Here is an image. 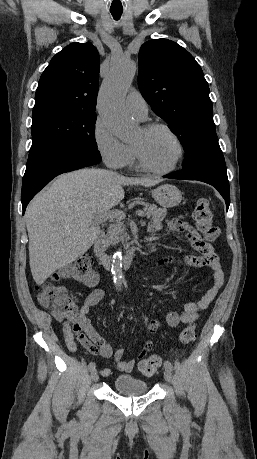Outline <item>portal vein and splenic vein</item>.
<instances>
[{
    "label": "portal vein and splenic vein",
    "instance_id": "18ae733b",
    "mask_svg": "<svg viewBox=\"0 0 257 459\" xmlns=\"http://www.w3.org/2000/svg\"><path fill=\"white\" fill-rule=\"evenodd\" d=\"M136 214L138 216H141V217H145V213L142 212V211H137ZM126 216H125V213L120 211V210H112V211H109L105 214H103L101 217L98 218V222H103V221H106V220H109V219H118V220H122L124 219Z\"/></svg>",
    "mask_w": 257,
    "mask_h": 459
}]
</instances>
